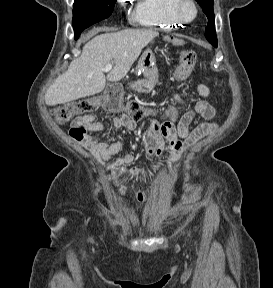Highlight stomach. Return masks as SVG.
Wrapping results in <instances>:
<instances>
[{
  "label": "stomach",
  "instance_id": "obj_1",
  "mask_svg": "<svg viewBox=\"0 0 273 288\" xmlns=\"http://www.w3.org/2000/svg\"><path fill=\"white\" fill-rule=\"evenodd\" d=\"M156 57L153 51L148 48L144 51L136 66V73H142L147 80L132 85L135 91L148 93L153 89L156 72Z\"/></svg>",
  "mask_w": 273,
  "mask_h": 288
}]
</instances>
